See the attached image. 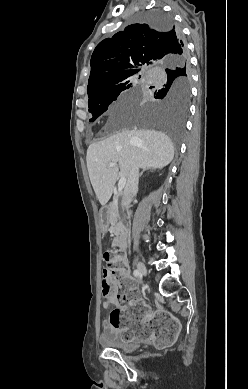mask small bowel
<instances>
[{
	"label": "small bowel",
	"mask_w": 248,
	"mask_h": 389,
	"mask_svg": "<svg viewBox=\"0 0 248 389\" xmlns=\"http://www.w3.org/2000/svg\"><path fill=\"white\" fill-rule=\"evenodd\" d=\"M111 305H118V301L106 297V300L103 302V308L109 309ZM103 326L105 329H109L111 325L109 321L106 320L103 322Z\"/></svg>",
	"instance_id": "obj_1"
}]
</instances>
